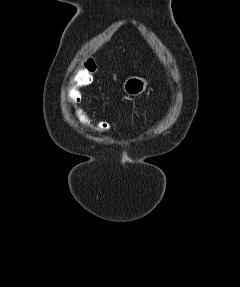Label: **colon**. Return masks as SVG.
I'll list each match as a JSON object with an SVG mask.
<instances>
[{"mask_svg":"<svg viewBox=\"0 0 240 287\" xmlns=\"http://www.w3.org/2000/svg\"><path fill=\"white\" fill-rule=\"evenodd\" d=\"M96 70L95 61L91 58L83 62L82 69L78 71L73 79V85L67 89L65 100L69 109L76 119L85 127H97L102 131L111 129L112 125L108 121H96L83 106V96L80 87L86 86L92 81V74Z\"/></svg>","mask_w":240,"mask_h":287,"instance_id":"colon-1","label":"colon"}]
</instances>
